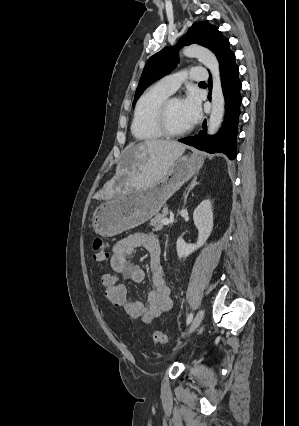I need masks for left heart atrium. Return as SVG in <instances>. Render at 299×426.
<instances>
[{"instance_id":"1","label":"left heart atrium","mask_w":299,"mask_h":426,"mask_svg":"<svg viewBox=\"0 0 299 426\" xmlns=\"http://www.w3.org/2000/svg\"><path fill=\"white\" fill-rule=\"evenodd\" d=\"M184 113L188 123H196L201 115L200 102L196 95L189 94L184 100H182Z\"/></svg>"}]
</instances>
